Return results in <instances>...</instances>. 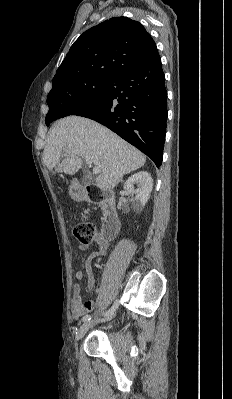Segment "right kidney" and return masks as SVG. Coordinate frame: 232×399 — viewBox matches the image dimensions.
Wrapping results in <instances>:
<instances>
[{"label":"right kidney","mask_w":232,"mask_h":399,"mask_svg":"<svg viewBox=\"0 0 232 399\" xmlns=\"http://www.w3.org/2000/svg\"><path fill=\"white\" fill-rule=\"evenodd\" d=\"M153 180L149 172H137L128 178L123 186V190L130 194L133 198V205L143 209L145 203L149 200V196L152 192Z\"/></svg>","instance_id":"ca27d5eb"}]
</instances>
